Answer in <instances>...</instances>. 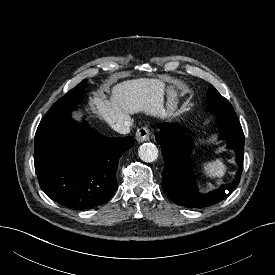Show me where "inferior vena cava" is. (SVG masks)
Masks as SVG:
<instances>
[{
  "instance_id": "inferior-vena-cava-1",
  "label": "inferior vena cava",
  "mask_w": 275,
  "mask_h": 275,
  "mask_svg": "<svg viewBox=\"0 0 275 275\" xmlns=\"http://www.w3.org/2000/svg\"><path fill=\"white\" fill-rule=\"evenodd\" d=\"M132 126V120L130 117H127L121 122L113 124L111 127L120 134H127L130 132V127Z\"/></svg>"
}]
</instances>
